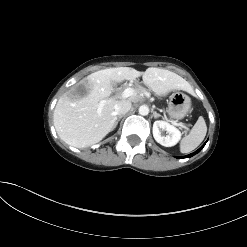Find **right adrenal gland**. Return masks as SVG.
Returning <instances> with one entry per match:
<instances>
[{"label": "right adrenal gland", "mask_w": 247, "mask_h": 247, "mask_svg": "<svg viewBox=\"0 0 247 247\" xmlns=\"http://www.w3.org/2000/svg\"><path fill=\"white\" fill-rule=\"evenodd\" d=\"M122 117H123V115L116 116L115 127L118 124V122L121 120Z\"/></svg>", "instance_id": "right-adrenal-gland-1"}]
</instances>
